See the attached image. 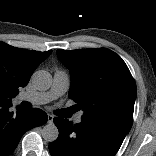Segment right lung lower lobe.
<instances>
[{
  "label": "right lung lower lobe",
  "instance_id": "1",
  "mask_svg": "<svg viewBox=\"0 0 156 156\" xmlns=\"http://www.w3.org/2000/svg\"><path fill=\"white\" fill-rule=\"evenodd\" d=\"M11 106L0 107V156H9L26 131L48 120L47 114L38 108L25 110L18 106L14 114L9 111Z\"/></svg>",
  "mask_w": 156,
  "mask_h": 156
}]
</instances>
